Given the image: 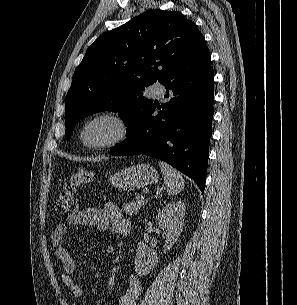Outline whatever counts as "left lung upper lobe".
Here are the masks:
<instances>
[{
    "mask_svg": "<svg viewBox=\"0 0 297 305\" xmlns=\"http://www.w3.org/2000/svg\"><path fill=\"white\" fill-rule=\"evenodd\" d=\"M211 65L202 33L177 11L149 10L101 35L76 68L66 97L65 138L89 113L119 112L129 124L152 102L143 90Z\"/></svg>",
    "mask_w": 297,
    "mask_h": 305,
    "instance_id": "obj_1",
    "label": "left lung upper lobe"
}]
</instances>
